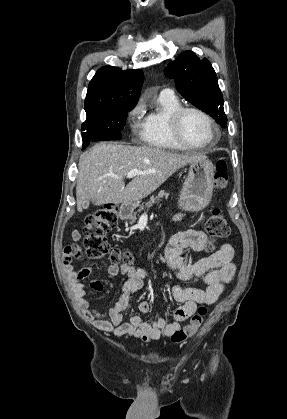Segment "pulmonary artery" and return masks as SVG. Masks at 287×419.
<instances>
[{
  "mask_svg": "<svg viewBox=\"0 0 287 419\" xmlns=\"http://www.w3.org/2000/svg\"><path fill=\"white\" fill-rule=\"evenodd\" d=\"M162 95L172 96L174 95L173 91L170 88H164L161 90Z\"/></svg>",
  "mask_w": 287,
  "mask_h": 419,
  "instance_id": "e3ab8cb5",
  "label": "pulmonary artery"
}]
</instances>
